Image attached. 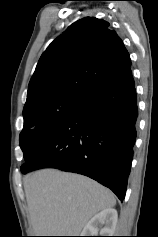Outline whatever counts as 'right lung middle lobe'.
<instances>
[{"label":"right lung middle lobe","mask_w":158,"mask_h":237,"mask_svg":"<svg viewBox=\"0 0 158 237\" xmlns=\"http://www.w3.org/2000/svg\"><path fill=\"white\" fill-rule=\"evenodd\" d=\"M84 101L59 97L45 100L23 111L24 127L20 147L24 153L25 169L41 144L62 125Z\"/></svg>","instance_id":"right-lung-middle-lobe-1"}]
</instances>
